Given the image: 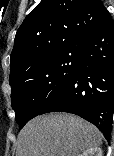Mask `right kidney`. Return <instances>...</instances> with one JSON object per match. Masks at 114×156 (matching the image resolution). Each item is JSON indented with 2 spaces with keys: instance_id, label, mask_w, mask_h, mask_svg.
Returning <instances> with one entry per match:
<instances>
[{
  "instance_id": "right-kidney-1",
  "label": "right kidney",
  "mask_w": 114,
  "mask_h": 156,
  "mask_svg": "<svg viewBox=\"0 0 114 156\" xmlns=\"http://www.w3.org/2000/svg\"><path fill=\"white\" fill-rule=\"evenodd\" d=\"M81 156H103L99 147H92L83 152Z\"/></svg>"
}]
</instances>
